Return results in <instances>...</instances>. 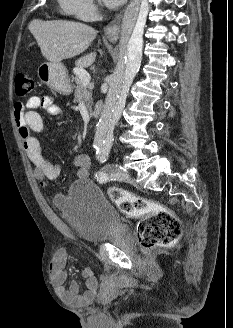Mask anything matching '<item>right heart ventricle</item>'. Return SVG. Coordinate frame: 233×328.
<instances>
[{"label": "right heart ventricle", "mask_w": 233, "mask_h": 328, "mask_svg": "<svg viewBox=\"0 0 233 328\" xmlns=\"http://www.w3.org/2000/svg\"><path fill=\"white\" fill-rule=\"evenodd\" d=\"M58 3H59V5H60V7L62 8L63 11L69 13L68 4H67L66 0H58Z\"/></svg>", "instance_id": "e07e8e85"}]
</instances>
